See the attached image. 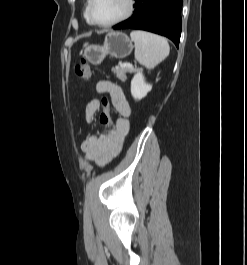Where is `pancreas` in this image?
Here are the masks:
<instances>
[{
	"label": "pancreas",
	"instance_id": "cf45deb5",
	"mask_svg": "<svg viewBox=\"0 0 247 265\" xmlns=\"http://www.w3.org/2000/svg\"><path fill=\"white\" fill-rule=\"evenodd\" d=\"M135 69L134 68H129V67H121V66H117L113 69L114 74L116 75V77L121 80L122 82L126 81V73H132L134 72Z\"/></svg>",
	"mask_w": 247,
	"mask_h": 265
}]
</instances>
